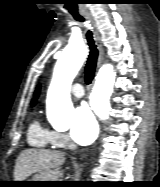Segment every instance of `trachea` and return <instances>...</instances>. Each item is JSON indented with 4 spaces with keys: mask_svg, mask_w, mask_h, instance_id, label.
I'll return each mask as SVG.
<instances>
[{
    "mask_svg": "<svg viewBox=\"0 0 160 187\" xmlns=\"http://www.w3.org/2000/svg\"><path fill=\"white\" fill-rule=\"evenodd\" d=\"M75 19L81 22L84 21V18H81V17H77ZM86 39H87V42L90 48V52L87 58V63L85 66L84 73H85L86 84H90L94 78L95 68H96L97 59H98V50L93 40V34L90 30L86 33Z\"/></svg>",
    "mask_w": 160,
    "mask_h": 187,
    "instance_id": "3493384b",
    "label": "trachea"
}]
</instances>
